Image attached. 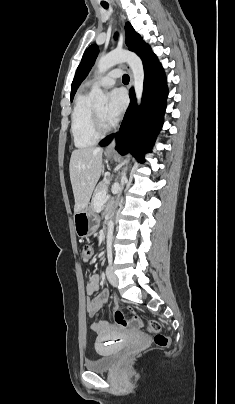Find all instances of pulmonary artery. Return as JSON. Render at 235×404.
I'll return each instance as SVG.
<instances>
[{"label":"pulmonary artery","mask_w":235,"mask_h":404,"mask_svg":"<svg viewBox=\"0 0 235 404\" xmlns=\"http://www.w3.org/2000/svg\"><path fill=\"white\" fill-rule=\"evenodd\" d=\"M121 75V70L114 69L101 78L92 80L88 83V88L104 87L109 88L115 84V81Z\"/></svg>","instance_id":"1"}]
</instances>
